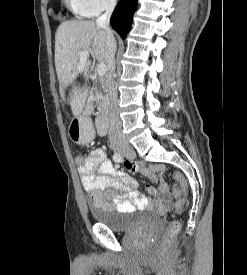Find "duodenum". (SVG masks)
I'll list each match as a JSON object with an SVG mask.
<instances>
[{"instance_id":"410a0bca","label":"duodenum","mask_w":247,"mask_h":275,"mask_svg":"<svg viewBox=\"0 0 247 275\" xmlns=\"http://www.w3.org/2000/svg\"><path fill=\"white\" fill-rule=\"evenodd\" d=\"M92 91L86 95L85 97V108H90V100H91ZM95 126L97 130V134L100 136H104L107 133L108 129V115L103 114L96 118Z\"/></svg>"}]
</instances>
